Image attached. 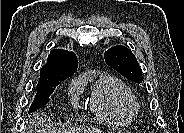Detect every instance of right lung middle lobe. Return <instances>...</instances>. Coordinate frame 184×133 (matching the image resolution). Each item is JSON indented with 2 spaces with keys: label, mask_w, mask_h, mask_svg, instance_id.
Segmentation results:
<instances>
[{
  "label": "right lung middle lobe",
  "mask_w": 184,
  "mask_h": 133,
  "mask_svg": "<svg viewBox=\"0 0 184 133\" xmlns=\"http://www.w3.org/2000/svg\"><path fill=\"white\" fill-rule=\"evenodd\" d=\"M61 82L62 81H54L46 87L37 88V94L30 106L29 113L46 105L49 102V96L54 92L56 86H58Z\"/></svg>",
  "instance_id": "dd1d6c3e"
}]
</instances>
